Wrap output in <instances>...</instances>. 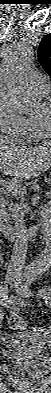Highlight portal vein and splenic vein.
I'll return each instance as SVG.
<instances>
[{"instance_id":"18ae733b","label":"portal vein and splenic vein","mask_w":51,"mask_h":393,"mask_svg":"<svg viewBox=\"0 0 51 393\" xmlns=\"http://www.w3.org/2000/svg\"><path fill=\"white\" fill-rule=\"evenodd\" d=\"M1 185H3L6 189L12 190L14 192H22V193L26 192L25 187H22L21 185H18L14 182L8 184L4 181H1Z\"/></svg>"}]
</instances>
